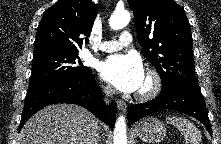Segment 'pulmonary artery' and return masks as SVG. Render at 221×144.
Here are the masks:
<instances>
[{"label":"pulmonary artery","instance_id":"obj_1","mask_svg":"<svg viewBox=\"0 0 221 144\" xmlns=\"http://www.w3.org/2000/svg\"><path fill=\"white\" fill-rule=\"evenodd\" d=\"M132 41V36L128 31H123L118 40L104 41L99 49L103 52H115L128 46Z\"/></svg>","mask_w":221,"mask_h":144}]
</instances>
